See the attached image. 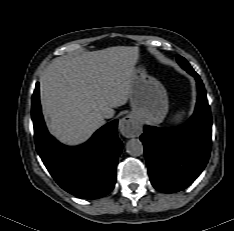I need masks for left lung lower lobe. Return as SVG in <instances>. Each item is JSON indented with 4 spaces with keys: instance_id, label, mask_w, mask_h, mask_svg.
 <instances>
[{
    "instance_id": "left-lung-lower-lobe-1",
    "label": "left lung lower lobe",
    "mask_w": 234,
    "mask_h": 231,
    "mask_svg": "<svg viewBox=\"0 0 234 231\" xmlns=\"http://www.w3.org/2000/svg\"><path fill=\"white\" fill-rule=\"evenodd\" d=\"M179 65L197 84L194 114L179 127L144 126L140 140L153 187L162 193L187 188L206 167L212 149V114L203 81L189 63Z\"/></svg>"
}]
</instances>
